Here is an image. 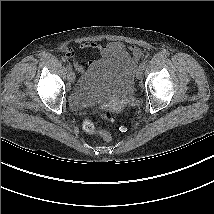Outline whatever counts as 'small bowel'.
<instances>
[{
  "mask_svg": "<svg viewBox=\"0 0 214 214\" xmlns=\"http://www.w3.org/2000/svg\"><path fill=\"white\" fill-rule=\"evenodd\" d=\"M80 49H85V50H95L97 51L102 57H104V59H106L107 57L111 56V55H120L123 59V61L125 62V64L132 69L134 67V65L137 63V61L139 60L140 56H141V50L134 46L131 45L129 46V51L127 50L126 46L121 43V42H109L105 45H102L100 43L97 42H84L80 44ZM68 57L70 58H74V54L72 52H70L68 54ZM103 60L101 61H95V60H89L88 62L81 63L77 60H74V66L75 69L79 72V73H83L85 71L86 68H91V67H95L97 65H99L100 63H102Z\"/></svg>",
  "mask_w": 214,
  "mask_h": 214,
  "instance_id": "c3829d8e",
  "label": "small bowel"
}]
</instances>
